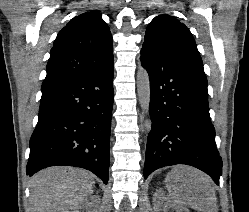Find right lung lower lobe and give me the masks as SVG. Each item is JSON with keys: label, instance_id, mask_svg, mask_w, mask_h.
Here are the masks:
<instances>
[{"label": "right lung lower lobe", "instance_id": "right-lung-lower-lobe-1", "mask_svg": "<svg viewBox=\"0 0 249 212\" xmlns=\"http://www.w3.org/2000/svg\"><path fill=\"white\" fill-rule=\"evenodd\" d=\"M113 60L42 88L26 173L56 165L85 168L107 184L113 107Z\"/></svg>", "mask_w": 249, "mask_h": 212}]
</instances>
